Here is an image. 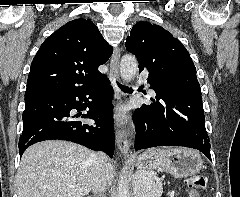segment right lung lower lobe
Listing matches in <instances>:
<instances>
[{"label":"right lung lower lobe","mask_w":240,"mask_h":197,"mask_svg":"<svg viewBox=\"0 0 240 197\" xmlns=\"http://www.w3.org/2000/svg\"><path fill=\"white\" fill-rule=\"evenodd\" d=\"M112 93L110 81L105 77L88 87L58 88L26 97L20 157L30 145L50 139L78 143L112 157L115 147ZM87 108V114L81 117L95 120L96 125L83 124L76 119L80 115L70 113L72 109Z\"/></svg>","instance_id":"obj_1"}]
</instances>
